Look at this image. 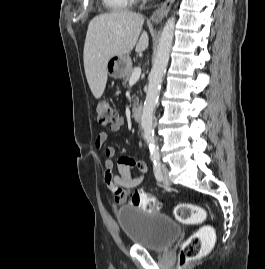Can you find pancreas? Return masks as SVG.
Returning a JSON list of instances; mask_svg holds the SVG:
<instances>
[{
    "label": "pancreas",
    "instance_id": "cf45deb5",
    "mask_svg": "<svg viewBox=\"0 0 265 269\" xmlns=\"http://www.w3.org/2000/svg\"><path fill=\"white\" fill-rule=\"evenodd\" d=\"M133 73V70L131 69L127 75L124 77V84H127L130 81V77ZM139 103V98H136V100H134V106H136Z\"/></svg>",
    "mask_w": 265,
    "mask_h": 269
}]
</instances>
